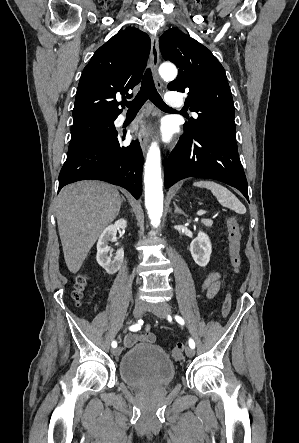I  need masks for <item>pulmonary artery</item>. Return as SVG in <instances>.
Masks as SVG:
<instances>
[{"label":"pulmonary artery","mask_w":299,"mask_h":443,"mask_svg":"<svg viewBox=\"0 0 299 443\" xmlns=\"http://www.w3.org/2000/svg\"><path fill=\"white\" fill-rule=\"evenodd\" d=\"M165 102L172 108H179L182 106V96L179 93L168 92L165 94Z\"/></svg>","instance_id":"1"}]
</instances>
